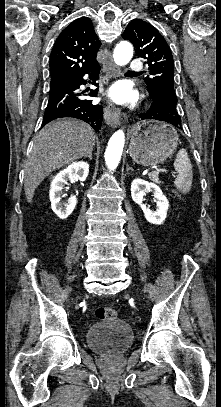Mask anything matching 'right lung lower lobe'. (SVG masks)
<instances>
[{"label": "right lung lower lobe", "mask_w": 221, "mask_h": 407, "mask_svg": "<svg viewBox=\"0 0 221 407\" xmlns=\"http://www.w3.org/2000/svg\"><path fill=\"white\" fill-rule=\"evenodd\" d=\"M100 69V66L96 65L87 72L50 87L42 127L57 118L73 117L85 121L98 132L103 119V108L101 105L93 104L92 100L84 98L87 95L96 97L98 89L86 94L87 91H81L79 88L87 84V80L83 78L85 74H88L93 85L97 86L96 80L99 78Z\"/></svg>", "instance_id": "obj_1"}]
</instances>
